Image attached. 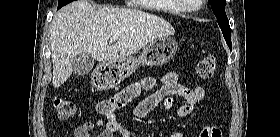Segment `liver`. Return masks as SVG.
Listing matches in <instances>:
<instances>
[{"label": "liver", "instance_id": "obj_1", "mask_svg": "<svg viewBox=\"0 0 280 137\" xmlns=\"http://www.w3.org/2000/svg\"><path fill=\"white\" fill-rule=\"evenodd\" d=\"M174 33L169 22L140 10L97 8L88 0L74 1L60 9L51 23L52 84L58 88L71 76L73 58L79 54L102 62L126 59ZM113 36L117 40L109 45Z\"/></svg>", "mask_w": 280, "mask_h": 137}]
</instances>
